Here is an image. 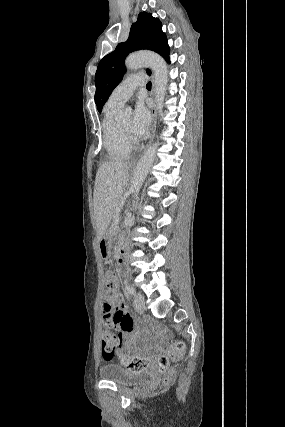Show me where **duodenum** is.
Instances as JSON below:
<instances>
[{"label":"duodenum","mask_w":285,"mask_h":427,"mask_svg":"<svg viewBox=\"0 0 285 427\" xmlns=\"http://www.w3.org/2000/svg\"><path fill=\"white\" fill-rule=\"evenodd\" d=\"M124 254H125V248L124 247H120L119 249H118V259H121V258H123V256H124Z\"/></svg>","instance_id":"410a0bca"}]
</instances>
